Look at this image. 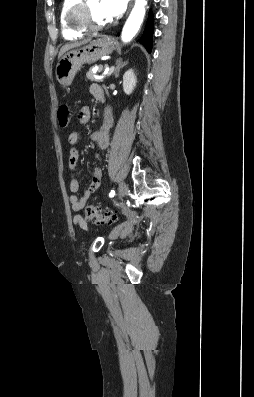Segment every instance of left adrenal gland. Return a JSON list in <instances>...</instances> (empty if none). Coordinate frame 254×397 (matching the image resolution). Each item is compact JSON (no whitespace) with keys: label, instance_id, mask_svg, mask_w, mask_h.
I'll list each match as a JSON object with an SVG mask.
<instances>
[{"label":"left adrenal gland","instance_id":"obj_1","mask_svg":"<svg viewBox=\"0 0 254 397\" xmlns=\"http://www.w3.org/2000/svg\"><path fill=\"white\" fill-rule=\"evenodd\" d=\"M127 64H128V61L123 62L121 58L116 61V68L114 70L115 78H117L119 76L120 70Z\"/></svg>","mask_w":254,"mask_h":397}]
</instances>
